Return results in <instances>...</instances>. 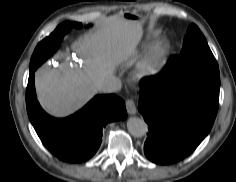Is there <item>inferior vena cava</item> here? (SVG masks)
Here are the masks:
<instances>
[{
    "label": "inferior vena cava",
    "instance_id": "602c4592",
    "mask_svg": "<svg viewBox=\"0 0 236 182\" xmlns=\"http://www.w3.org/2000/svg\"><path fill=\"white\" fill-rule=\"evenodd\" d=\"M121 89V81L115 77H107L100 85L99 90L103 93H113Z\"/></svg>",
    "mask_w": 236,
    "mask_h": 182
}]
</instances>
